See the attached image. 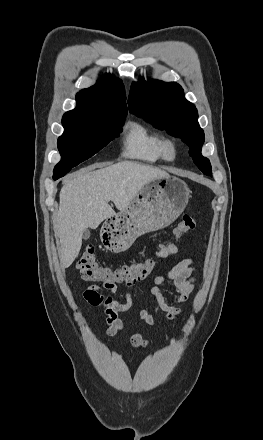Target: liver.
I'll use <instances>...</instances> for the list:
<instances>
[{
	"instance_id": "liver-1",
	"label": "liver",
	"mask_w": 263,
	"mask_h": 440,
	"mask_svg": "<svg viewBox=\"0 0 263 440\" xmlns=\"http://www.w3.org/2000/svg\"><path fill=\"white\" fill-rule=\"evenodd\" d=\"M167 175L157 167L123 161L97 170L83 169L67 180L60 191L55 224L63 267H69L78 256L84 230L96 229L116 214L110 200L122 211L144 185Z\"/></svg>"
}]
</instances>
